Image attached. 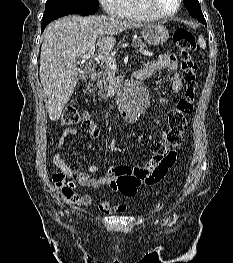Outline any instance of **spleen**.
I'll use <instances>...</instances> for the list:
<instances>
[{"instance_id": "spleen-1", "label": "spleen", "mask_w": 233, "mask_h": 263, "mask_svg": "<svg viewBox=\"0 0 233 263\" xmlns=\"http://www.w3.org/2000/svg\"><path fill=\"white\" fill-rule=\"evenodd\" d=\"M198 43H199L201 48H203V49L206 48V42H205L204 38L202 37V35L199 36Z\"/></svg>"}]
</instances>
